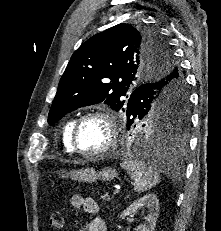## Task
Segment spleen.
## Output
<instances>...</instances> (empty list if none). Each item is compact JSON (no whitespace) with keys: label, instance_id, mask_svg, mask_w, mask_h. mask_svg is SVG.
<instances>
[{"label":"spleen","instance_id":"3e777b00","mask_svg":"<svg viewBox=\"0 0 221 231\" xmlns=\"http://www.w3.org/2000/svg\"><path fill=\"white\" fill-rule=\"evenodd\" d=\"M120 166L134 180V190L138 193L147 191L159 183V174L151 165H147L143 161L126 158L120 163Z\"/></svg>","mask_w":221,"mask_h":231}]
</instances>
